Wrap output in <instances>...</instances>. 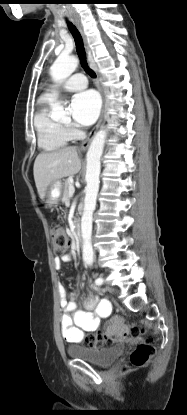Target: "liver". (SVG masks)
<instances>
[{
    "label": "liver",
    "mask_w": 187,
    "mask_h": 415,
    "mask_svg": "<svg viewBox=\"0 0 187 415\" xmlns=\"http://www.w3.org/2000/svg\"><path fill=\"white\" fill-rule=\"evenodd\" d=\"M81 162L76 147H65L40 153L34 162L33 174L39 197L43 200L48 186L61 178L79 172Z\"/></svg>",
    "instance_id": "liver-1"
}]
</instances>
